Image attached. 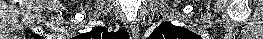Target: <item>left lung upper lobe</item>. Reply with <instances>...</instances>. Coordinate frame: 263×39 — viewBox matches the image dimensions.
<instances>
[{"label":"left lung upper lobe","mask_w":263,"mask_h":39,"mask_svg":"<svg viewBox=\"0 0 263 39\" xmlns=\"http://www.w3.org/2000/svg\"><path fill=\"white\" fill-rule=\"evenodd\" d=\"M148 39H201V37L186 28L164 22L152 32Z\"/></svg>","instance_id":"1"}]
</instances>
